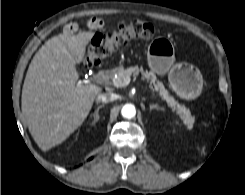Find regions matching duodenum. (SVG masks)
<instances>
[{
    "label": "duodenum",
    "mask_w": 245,
    "mask_h": 195,
    "mask_svg": "<svg viewBox=\"0 0 245 195\" xmlns=\"http://www.w3.org/2000/svg\"><path fill=\"white\" fill-rule=\"evenodd\" d=\"M113 75V71L111 69H105L101 72L100 77L102 79H108Z\"/></svg>",
    "instance_id": "obj_1"
}]
</instances>
